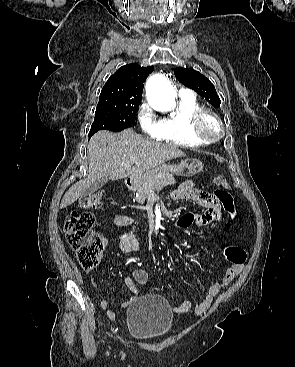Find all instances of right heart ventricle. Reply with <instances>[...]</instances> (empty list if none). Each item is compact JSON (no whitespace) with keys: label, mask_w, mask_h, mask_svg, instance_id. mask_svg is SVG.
<instances>
[{"label":"right heart ventricle","mask_w":295,"mask_h":367,"mask_svg":"<svg viewBox=\"0 0 295 367\" xmlns=\"http://www.w3.org/2000/svg\"><path fill=\"white\" fill-rule=\"evenodd\" d=\"M200 108L202 107L194 97H181L175 113L160 120L161 133L157 139L181 147L206 145L207 143L192 134L190 128L191 118Z\"/></svg>","instance_id":"1"}]
</instances>
